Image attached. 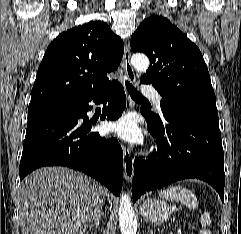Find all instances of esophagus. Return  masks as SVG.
<instances>
[{
	"label": "esophagus",
	"instance_id": "1",
	"mask_svg": "<svg viewBox=\"0 0 241 234\" xmlns=\"http://www.w3.org/2000/svg\"><path fill=\"white\" fill-rule=\"evenodd\" d=\"M123 68H124L126 80H128L130 83L135 85L136 77L130 63V47L128 44H125V47H124ZM122 149H123L124 177L127 182H131L134 175V160L132 158V154L129 148H126L125 146H123Z\"/></svg>",
	"mask_w": 241,
	"mask_h": 234
}]
</instances>
